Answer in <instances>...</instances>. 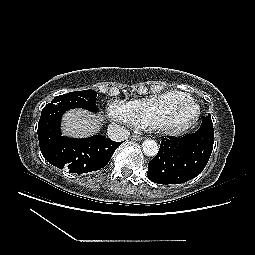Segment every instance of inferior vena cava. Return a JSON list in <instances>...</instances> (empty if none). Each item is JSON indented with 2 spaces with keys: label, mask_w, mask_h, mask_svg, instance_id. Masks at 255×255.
Segmentation results:
<instances>
[{
  "label": "inferior vena cava",
  "mask_w": 255,
  "mask_h": 255,
  "mask_svg": "<svg viewBox=\"0 0 255 255\" xmlns=\"http://www.w3.org/2000/svg\"><path fill=\"white\" fill-rule=\"evenodd\" d=\"M107 135L111 140L121 142L128 139L130 132L123 126L113 123L108 126Z\"/></svg>",
  "instance_id": "inferior-vena-cava-1"
}]
</instances>
